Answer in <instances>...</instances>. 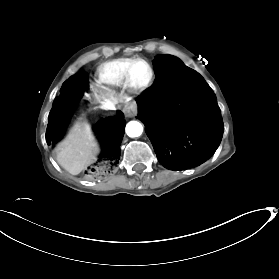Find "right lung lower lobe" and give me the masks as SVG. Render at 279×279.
Instances as JSON below:
<instances>
[{
  "instance_id": "98d812e1",
  "label": "right lung lower lobe",
  "mask_w": 279,
  "mask_h": 279,
  "mask_svg": "<svg viewBox=\"0 0 279 279\" xmlns=\"http://www.w3.org/2000/svg\"><path fill=\"white\" fill-rule=\"evenodd\" d=\"M87 86L88 80L85 73L82 76H72L68 81L64 82L60 90V95L55 98L49 114V123L46 130V141L48 145L54 147L55 143L65 133L70 114L82 97ZM102 122L105 131L102 134L100 130V134L105 141L106 150L105 152H101L97 161L85 170V174L98 175L104 171V166L108 165L110 161H118L120 159V144L125 128L123 114L103 119L100 123ZM100 123L98 124L99 129Z\"/></svg>"
}]
</instances>
